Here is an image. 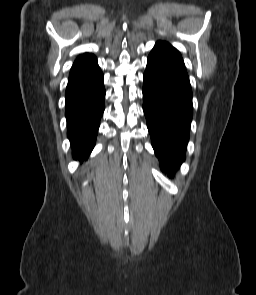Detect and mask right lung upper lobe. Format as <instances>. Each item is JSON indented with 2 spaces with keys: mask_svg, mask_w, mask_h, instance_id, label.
<instances>
[{
  "mask_svg": "<svg viewBox=\"0 0 256 295\" xmlns=\"http://www.w3.org/2000/svg\"><path fill=\"white\" fill-rule=\"evenodd\" d=\"M89 56H92V54L85 53V54H83V55L79 56V57L76 59V61H77V60H80V59H82V58L89 57Z\"/></svg>",
  "mask_w": 256,
  "mask_h": 295,
  "instance_id": "1",
  "label": "right lung upper lobe"
}]
</instances>
